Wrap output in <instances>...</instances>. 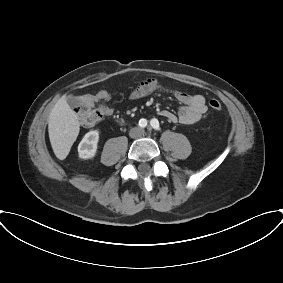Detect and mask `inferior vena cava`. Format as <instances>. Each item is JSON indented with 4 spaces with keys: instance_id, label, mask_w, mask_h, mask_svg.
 Here are the masks:
<instances>
[{
    "instance_id": "602c4592",
    "label": "inferior vena cava",
    "mask_w": 283,
    "mask_h": 283,
    "mask_svg": "<svg viewBox=\"0 0 283 283\" xmlns=\"http://www.w3.org/2000/svg\"><path fill=\"white\" fill-rule=\"evenodd\" d=\"M138 134L140 133V129L137 128ZM130 136H135V134L133 133V131L130 132Z\"/></svg>"
}]
</instances>
